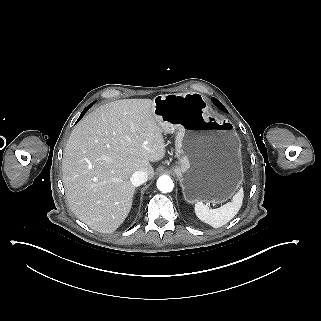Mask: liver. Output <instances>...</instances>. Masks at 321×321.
Masks as SVG:
<instances>
[{"mask_svg": "<svg viewBox=\"0 0 321 321\" xmlns=\"http://www.w3.org/2000/svg\"><path fill=\"white\" fill-rule=\"evenodd\" d=\"M167 144L151 99L102 105L73 129L63 154L66 197L90 228L113 233L128 217L135 186L130 177L163 160Z\"/></svg>", "mask_w": 321, "mask_h": 321, "instance_id": "1", "label": "liver"}]
</instances>
